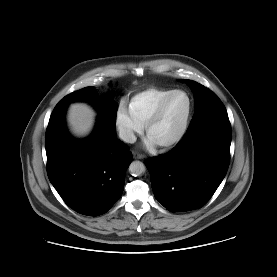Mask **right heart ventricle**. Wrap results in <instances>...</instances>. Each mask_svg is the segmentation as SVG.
<instances>
[{"instance_id": "e07e8e85", "label": "right heart ventricle", "mask_w": 277, "mask_h": 277, "mask_svg": "<svg viewBox=\"0 0 277 277\" xmlns=\"http://www.w3.org/2000/svg\"><path fill=\"white\" fill-rule=\"evenodd\" d=\"M175 89L164 87H150L133 95L128 109L132 117L142 126L145 125L159 102Z\"/></svg>"}]
</instances>
